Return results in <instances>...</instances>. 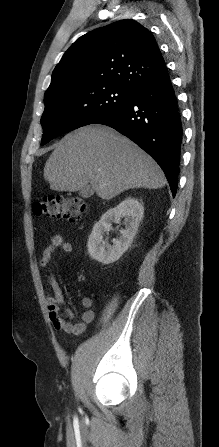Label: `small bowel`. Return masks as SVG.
<instances>
[{
  "mask_svg": "<svg viewBox=\"0 0 219 447\" xmlns=\"http://www.w3.org/2000/svg\"><path fill=\"white\" fill-rule=\"evenodd\" d=\"M72 250L73 245L70 242L65 241L60 235H54L49 245L43 250L39 264L45 267L50 263L56 252L70 253ZM47 279L53 290V294L46 297L48 316L53 327L56 330H62L72 334H81L84 332L86 325L94 320L95 314L91 309L92 298L86 296L82 299L84 311L81 314V322L73 323L71 320L74 318V312L71 310L61 312L60 310V307L66 303V296L58 285L54 274L49 273Z\"/></svg>",
  "mask_w": 219,
  "mask_h": 447,
  "instance_id": "1",
  "label": "small bowel"
}]
</instances>
